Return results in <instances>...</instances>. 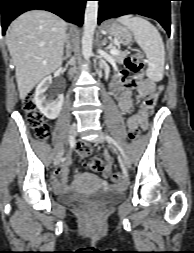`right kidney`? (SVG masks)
<instances>
[{
  "label": "right kidney",
  "instance_id": "obj_1",
  "mask_svg": "<svg viewBox=\"0 0 194 253\" xmlns=\"http://www.w3.org/2000/svg\"><path fill=\"white\" fill-rule=\"evenodd\" d=\"M51 83L52 78L48 76L38 84L35 91L34 102L44 116H46L48 119H56L62 109L64 96L58 95L56 99L47 97L45 93Z\"/></svg>",
  "mask_w": 194,
  "mask_h": 253
}]
</instances>
